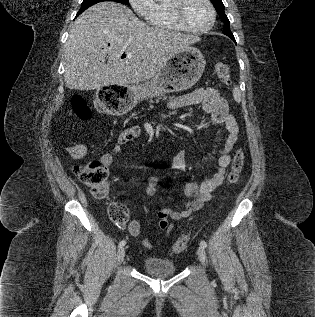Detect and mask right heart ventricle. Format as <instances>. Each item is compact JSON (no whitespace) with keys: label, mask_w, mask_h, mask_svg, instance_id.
Segmentation results:
<instances>
[{"label":"right heart ventricle","mask_w":315,"mask_h":317,"mask_svg":"<svg viewBox=\"0 0 315 317\" xmlns=\"http://www.w3.org/2000/svg\"><path fill=\"white\" fill-rule=\"evenodd\" d=\"M171 0H157L147 18L150 25L158 29L179 31L181 28L175 23L170 11Z\"/></svg>","instance_id":"obj_1"}]
</instances>
